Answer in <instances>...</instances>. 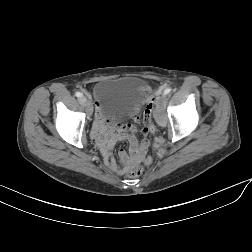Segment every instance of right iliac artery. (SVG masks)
I'll use <instances>...</instances> for the list:
<instances>
[{"mask_svg": "<svg viewBox=\"0 0 252 252\" xmlns=\"http://www.w3.org/2000/svg\"><path fill=\"white\" fill-rule=\"evenodd\" d=\"M75 95H76L77 97H82V93H80V92H76Z\"/></svg>", "mask_w": 252, "mask_h": 252, "instance_id": "82829eb1", "label": "right iliac artery"}]
</instances>
